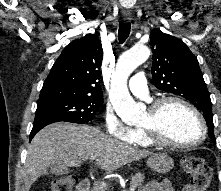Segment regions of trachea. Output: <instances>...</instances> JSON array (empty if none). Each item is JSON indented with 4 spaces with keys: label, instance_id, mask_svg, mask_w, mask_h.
I'll list each match as a JSON object with an SVG mask.
<instances>
[{
    "label": "trachea",
    "instance_id": "obj_1",
    "mask_svg": "<svg viewBox=\"0 0 221 191\" xmlns=\"http://www.w3.org/2000/svg\"><path fill=\"white\" fill-rule=\"evenodd\" d=\"M131 24L121 21L119 23L118 39L120 43H124L130 34Z\"/></svg>",
    "mask_w": 221,
    "mask_h": 191
}]
</instances>
